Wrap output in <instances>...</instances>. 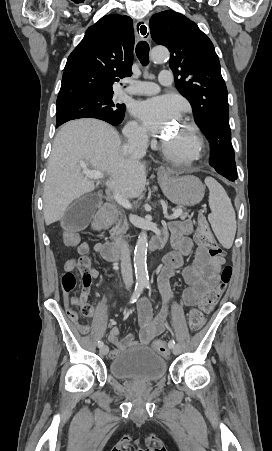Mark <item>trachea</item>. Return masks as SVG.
<instances>
[{"instance_id": "trachea-1", "label": "trachea", "mask_w": 272, "mask_h": 451, "mask_svg": "<svg viewBox=\"0 0 272 451\" xmlns=\"http://www.w3.org/2000/svg\"><path fill=\"white\" fill-rule=\"evenodd\" d=\"M141 28H146L145 25H142ZM136 55L140 60L143 66L148 65L149 63V45L145 41H140L136 46Z\"/></svg>"}]
</instances>
